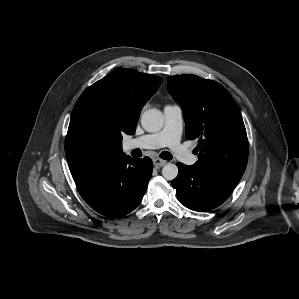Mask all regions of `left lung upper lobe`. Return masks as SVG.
Segmentation results:
<instances>
[{
  "instance_id": "5c2ea615",
  "label": "left lung upper lobe",
  "mask_w": 299,
  "mask_h": 299,
  "mask_svg": "<svg viewBox=\"0 0 299 299\" xmlns=\"http://www.w3.org/2000/svg\"><path fill=\"white\" fill-rule=\"evenodd\" d=\"M168 91L181 106L186 138L198 140L193 165L238 183L246 169L248 139L241 113L219 83L194 75L168 78Z\"/></svg>"
}]
</instances>
